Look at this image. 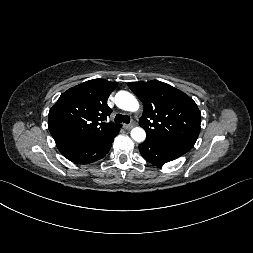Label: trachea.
<instances>
[{"mask_svg":"<svg viewBox=\"0 0 253 253\" xmlns=\"http://www.w3.org/2000/svg\"><path fill=\"white\" fill-rule=\"evenodd\" d=\"M115 122L116 123H130V117L128 115H122V114H117L115 116Z\"/></svg>","mask_w":253,"mask_h":253,"instance_id":"trachea-1","label":"trachea"}]
</instances>
